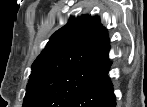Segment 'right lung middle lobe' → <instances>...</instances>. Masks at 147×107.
<instances>
[{"instance_id":"obj_1","label":"right lung middle lobe","mask_w":147,"mask_h":107,"mask_svg":"<svg viewBox=\"0 0 147 107\" xmlns=\"http://www.w3.org/2000/svg\"><path fill=\"white\" fill-rule=\"evenodd\" d=\"M100 70L72 71L32 76L22 107H66L94 79Z\"/></svg>"}]
</instances>
